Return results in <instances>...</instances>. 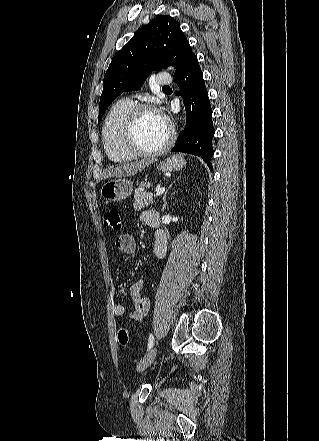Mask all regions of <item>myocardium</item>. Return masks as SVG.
<instances>
[{
  "label": "myocardium",
  "instance_id": "myocardium-1",
  "mask_svg": "<svg viewBox=\"0 0 319 441\" xmlns=\"http://www.w3.org/2000/svg\"><path fill=\"white\" fill-rule=\"evenodd\" d=\"M154 112L158 113L156 107L150 104L134 105L128 112L121 129V143L122 146L133 156L152 157L164 153L172 145L175 137V130L171 123L166 121L168 133L164 143L154 150H144L135 141V128L138 119L142 113Z\"/></svg>",
  "mask_w": 319,
  "mask_h": 441
}]
</instances>
